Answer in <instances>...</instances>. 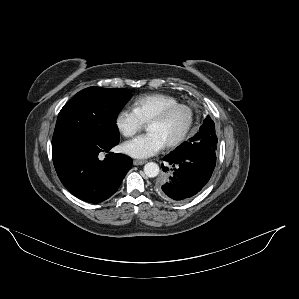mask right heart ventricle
<instances>
[{
  "instance_id": "e07e8e85",
  "label": "right heart ventricle",
  "mask_w": 299,
  "mask_h": 299,
  "mask_svg": "<svg viewBox=\"0 0 299 299\" xmlns=\"http://www.w3.org/2000/svg\"><path fill=\"white\" fill-rule=\"evenodd\" d=\"M179 102L173 95L156 92L138 96L133 101L132 107L142 122L148 123L162 109Z\"/></svg>"
}]
</instances>
